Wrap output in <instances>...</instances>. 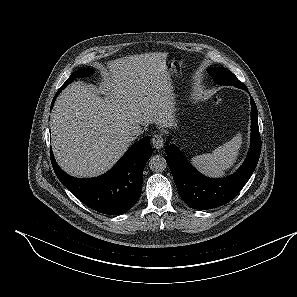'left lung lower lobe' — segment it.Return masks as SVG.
I'll return each instance as SVG.
<instances>
[{
    "instance_id": "obj_1",
    "label": "left lung lower lobe",
    "mask_w": 297,
    "mask_h": 297,
    "mask_svg": "<svg viewBox=\"0 0 297 297\" xmlns=\"http://www.w3.org/2000/svg\"><path fill=\"white\" fill-rule=\"evenodd\" d=\"M244 90L248 91L247 88ZM166 162L172 172L178 193L193 209H212L231 201L247 183L258 163L261 138L256 104L251 97V144L242 166L231 176L208 178L195 170L174 146L166 147Z\"/></svg>"
}]
</instances>
